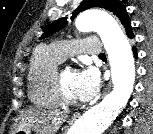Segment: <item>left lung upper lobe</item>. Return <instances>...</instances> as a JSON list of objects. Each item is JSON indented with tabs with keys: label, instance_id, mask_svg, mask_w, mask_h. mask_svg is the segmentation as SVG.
<instances>
[{
	"label": "left lung upper lobe",
	"instance_id": "left-lung-upper-lobe-1",
	"mask_svg": "<svg viewBox=\"0 0 153 134\" xmlns=\"http://www.w3.org/2000/svg\"><path fill=\"white\" fill-rule=\"evenodd\" d=\"M92 7H100L104 8L106 10H109L114 15H116L119 20L121 21L122 25L124 26L126 30V34L129 38H133L134 35L132 33L131 29V22L130 18L128 16V13L126 11V7L124 4L119 0H83L80 4V6L74 11L73 17L76 16L79 12L84 11L86 9L92 8ZM66 18H61L56 21H54L42 34L40 39H44L46 37H49L56 31H59L64 27L66 24Z\"/></svg>",
	"mask_w": 153,
	"mask_h": 134
}]
</instances>
